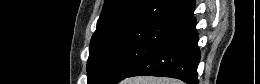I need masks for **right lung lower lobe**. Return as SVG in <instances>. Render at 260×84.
<instances>
[{"instance_id":"obj_1","label":"right lung lower lobe","mask_w":260,"mask_h":84,"mask_svg":"<svg viewBox=\"0 0 260 84\" xmlns=\"http://www.w3.org/2000/svg\"><path fill=\"white\" fill-rule=\"evenodd\" d=\"M200 61L196 19L193 16L180 25L127 77L152 75L178 78L188 84H198Z\"/></svg>"}]
</instances>
